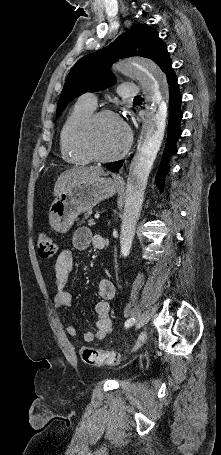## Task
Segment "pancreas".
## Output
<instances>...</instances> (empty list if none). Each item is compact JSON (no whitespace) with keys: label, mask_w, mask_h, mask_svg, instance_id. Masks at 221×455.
<instances>
[{"label":"pancreas","mask_w":221,"mask_h":455,"mask_svg":"<svg viewBox=\"0 0 221 455\" xmlns=\"http://www.w3.org/2000/svg\"><path fill=\"white\" fill-rule=\"evenodd\" d=\"M90 215H91L90 212H88L87 214H85L84 217L82 218V221L80 222V224H81V223H84L85 220L88 219L89 225H92L94 222H93V219H92V218H89Z\"/></svg>","instance_id":"pancreas-1"}]
</instances>
